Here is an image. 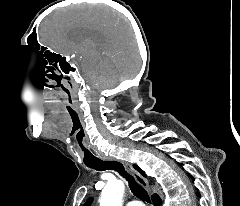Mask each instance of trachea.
<instances>
[{"instance_id":"obj_1","label":"trachea","mask_w":240,"mask_h":206,"mask_svg":"<svg viewBox=\"0 0 240 206\" xmlns=\"http://www.w3.org/2000/svg\"><path fill=\"white\" fill-rule=\"evenodd\" d=\"M86 166L98 171H103L107 169L117 171L121 176L126 178V180L128 181L130 190L136 197L146 202H150V198L147 191L140 184H138V182L131 175H129L125 171L124 166L120 162L118 161L108 162V161H103L101 159H97L93 162L86 163Z\"/></svg>"}]
</instances>
